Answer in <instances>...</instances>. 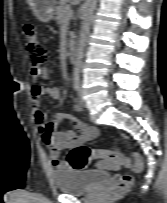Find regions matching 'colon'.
Masks as SVG:
<instances>
[{
  "label": "colon",
  "instance_id": "obj_1",
  "mask_svg": "<svg viewBox=\"0 0 167 203\" xmlns=\"http://www.w3.org/2000/svg\"><path fill=\"white\" fill-rule=\"evenodd\" d=\"M24 32L27 60L31 70L37 72L43 68L47 61V50L40 43L37 30L33 24H26L24 26ZM94 155L107 156L121 166L130 167L133 172H140L143 168L142 159L138 155L134 157V161L132 162L130 157L118 150L91 149L85 145H78L71 148L67 154V162L71 168L82 170L88 165L89 160ZM132 184V175L124 174L116 183L109 186L108 191L110 193L120 192L130 188Z\"/></svg>",
  "mask_w": 167,
  "mask_h": 203
}]
</instances>
